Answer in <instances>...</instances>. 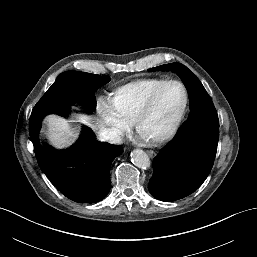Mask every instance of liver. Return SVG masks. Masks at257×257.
<instances>
[{"instance_id": "6515ba94", "label": "liver", "mask_w": 257, "mask_h": 257, "mask_svg": "<svg viewBox=\"0 0 257 257\" xmlns=\"http://www.w3.org/2000/svg\"><path fill=\"white\" fill-rule=\"evenodd\" d=\"M48 131H47V137L51 142H57L60 138V120L52 116L48 120Z\"/></svg>"}]
</instances>
